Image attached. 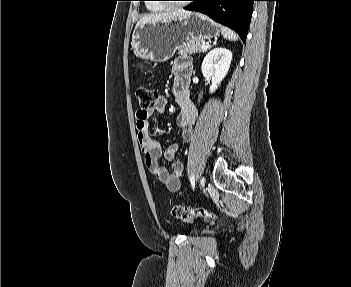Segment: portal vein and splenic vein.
Here are the masks:
<instances>
[{"instance_id": "1", "label": "portal vein and splenic vein", "mask_w": 351, "mask_h": 287, "mask_svg": "<svg viewBox=\"0 0 351 287\" xmlns=\"http://www.w3.org/2000/svg\"><path fill=\"white\" fill-rule=\"evenodd\" d=\"M202 49L206 50L207 49V45L205 43L202 44Z\"/></svg>"}]
</instances>
